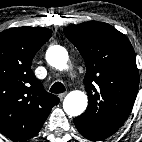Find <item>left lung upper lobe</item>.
Segmentation results:
<instances>
[{
    "instance_id": "left-lung-upper-lobe-1",
    "label": "left lung upper lobe",
    "mask_w": 142,
    "mask_h": 142,
    "mask_svg": "<svg viewBox=\"0 0 142 142\" xmlns=\"http://www.w3.org/2000/svg\"><path fill=\"white\" fill-rule=\"evenodd\" d=\"M64 33L81 53L89 104L79 119L105 137L114 134L133 108L139 72L127 37L103 22L66 27Z\"/></svg>"
}]
</instances>
